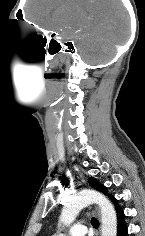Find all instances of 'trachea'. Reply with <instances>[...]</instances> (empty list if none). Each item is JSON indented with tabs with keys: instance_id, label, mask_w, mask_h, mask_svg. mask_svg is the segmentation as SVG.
Returning a JSON list of instances; mask_svg holds the SVG:
<instances>
[{
	"instance_id": "obj_1",
	"label": "trachea",
	"mask_w": 145,
	"mask_h": 236,
	"mask_svg": "<svg viewBox=\"0 0 145 236\" xmlns=\"http://www.w3.org/2000/svg\"><path fill=\"white\" fill-rule=\"evenodd\" d=\"M91 224L93 227H96V228L99 226V222L95 217L91 219Z\"/></svg>"
}]
</instances>
